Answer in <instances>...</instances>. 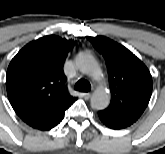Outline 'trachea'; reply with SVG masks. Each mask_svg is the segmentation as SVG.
<instances>
[{
    "label": "trachea",
    "mask_w": 165,
    "mask_h": 154,
    "mask_svg": "<svg viewBox=\"0 0 165 154\" xmlns=\"http://www.w3.org/2000/svg\"><path fill=\"white\" fill-rule=\"evenodd\" d=\"M74 89L81 92H88L90 90V84L85 79H80L75 84Z\"/></svg>",
    "instance_id": "3493384b"
}]
</instances>
